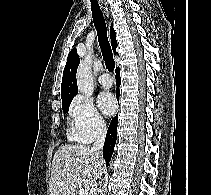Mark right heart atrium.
I'll return each mask as SVG.
<instances>
[{"label":"right heart atrium","instance_id":"1","mask_svg":"<svg viewBox=\"0 0 211 195\" xmlns=\"http://www.w3.org/2000/svg\"><path fill=\"white\" fill-rule=\"evenodd\" d=\"M70 135L79 142L89 143L104 134L106 121L92 100L76 96L69 109Z\"/></svg>","mask_w":211,"mask_h":195}]
</instances>
